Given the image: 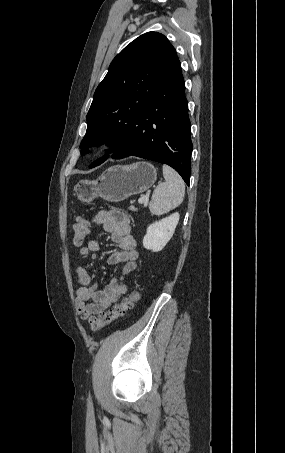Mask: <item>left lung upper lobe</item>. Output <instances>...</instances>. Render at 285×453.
<instances>
[{"label":"left lung upper lobe","instance_id":"5c2ea615","mask_svg":"<svg viewBox=\"0 0 285 453\" xmlns=\"http://www.w3.org/2000/svg\"><path fill=\"white\" fill-rule=\"evenodd\" d=\"M176 56L164 35L147 32L113 59L87 114V131L80 144L82 154L88 152L86 148L104 143L111 145L110 153L119 147ZM108 157L99 158L90 168Z\"/></svg>","mask_w":285,"mask_h":453}]
</instances>
